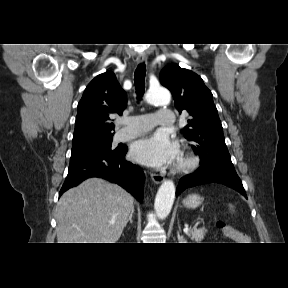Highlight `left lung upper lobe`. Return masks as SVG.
<instances>
[{
  "label": "left lung upper lobe",
  "instance_id": "5c2ea615",
  "mask_svg": "<svg viewBox=\"0 0 288 288\" xmlns=\"http://www.w3.org/2000/svg\"><path fill=\"white\" fill-rule=\"evenodd\" d=\"M160 82L171 91L177 110L190 115L184 135L200 156L201 167L218 166L235 171L213 95L202 78L177 64H169L161 71Z\"/></svg>",
  "mask_w": 288,
  "mask_h": 288
}]
</instances>
